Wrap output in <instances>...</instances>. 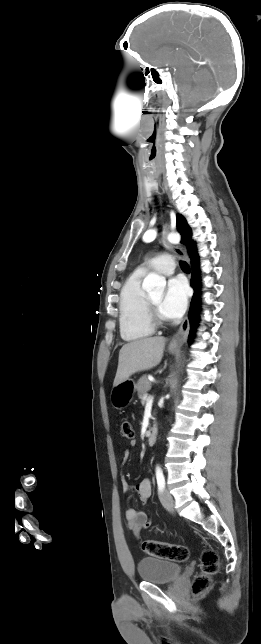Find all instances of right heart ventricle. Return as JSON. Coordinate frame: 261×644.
Wrapping results in <instances>:
<instances>
[{"label": "right heart ventricle", "instance_id": "right-heart-ventricle-1", "mask_svg": "<svg viewBox=\"0 0 261 644\" xmlns=\"http://www.w3.org/2000/svg\"><path fill=\"white\" fill-rule=\"evenodd\" d=\"M145 272L136 270L124 282L119 300V329L125 341H137L153 334L147 312V293L142 288Z\"/></svg>", "mask_w": 261, "mask_h": 644}]
</instances>
